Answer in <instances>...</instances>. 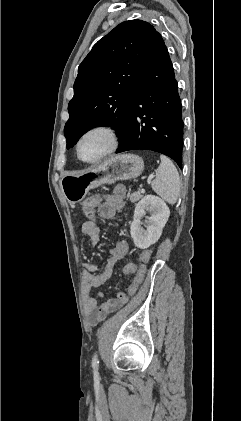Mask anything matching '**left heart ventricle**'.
<instances>
[{
  "mask_svg": "<svg viewBox=\"0 0 241 421\" xmlns=\"http://www.w3.org/2000/svg\"><path fill=\"white\" fill-rule=\"evenodd\" d=\"M108 140L104 134L93 133L87 136L80 145V154L85 159H93L107 147Z\"/></svg>",
  "mask_w": 241,
  "mask_h": 421,
  "instance_id": "obj_1",
  "label": "left heart ventricle"
}]
</instances>
